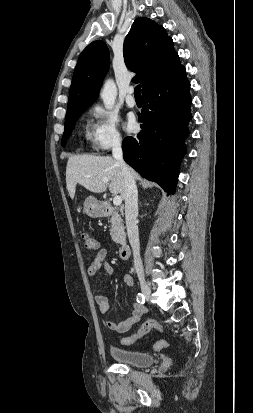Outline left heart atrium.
Instances as JSON below:
<instances>
[{"mask_svg": "<svg viewBox=\"0 0 253 413\" xmlns=\"http://www.w3.org/2000/svg\"><path fill=\"white\" fill-rule=\"evenodd\" d=\"M124 127L126 129L127 132H133L136 128H137V123L135 120V117L133 115H128L125 123H124Z\"/></svg>", "mask_w": 253, "mask_h": 413, "instance_id": "1", "label": "left heart atrium"}]
</instances>
